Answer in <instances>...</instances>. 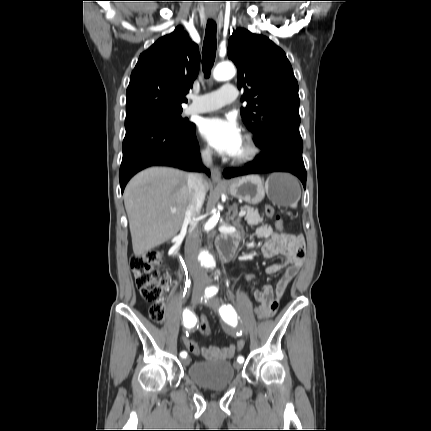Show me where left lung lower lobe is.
<instances>
[{
    "mask_svg": "<svg viewBox=\"0 0 431 431\" xmlns=\"http://www.w3.org/2000/svg\"><path fill=\"white\" fill-rule=\"evenodd\" d=\"M261 155L244 168H231L223 172L225 178L270 172H290L296 175L306 188V170L302 158L301 137L288 133H277L259 146Z\"/></svg>",
    "mask_w": 431,
    "mask_h": 431,
    "instance_id": "1",
    "label": "left lung lower lobe"
}]
</instances>
